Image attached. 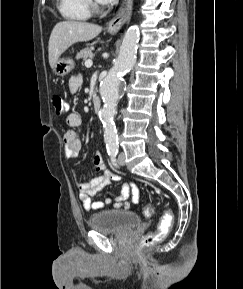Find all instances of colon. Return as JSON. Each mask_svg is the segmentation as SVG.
Masks as SVG:
<instances>
[{
    "instance_id": "1",
    "label": "colon",
    "mask_w": 243,
    "mask_h": 289,
    "mask_svg": "<svg viewBox=\"0 0 243 289\" xmlns=\"http://www.w3.org/2000/svg\"><path fill=\"white\" fill-rule=\"evenodd\" d=\"M54 112L57 116H62L66 112V103L63 97L55 95L52 99ZM145 216L150 217L153 215L154 210L151 205H146L143 209ZM173 223V215L170 210H166L162 215L157 229L154 232L145 234L139 243L141 248L150 247L161 241L170 231Z\"/></svg>"
}]
</instances>
